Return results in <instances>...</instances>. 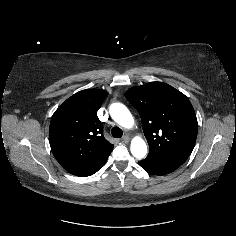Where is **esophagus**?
<instances>
[{
    "mask_svg": "<svg viewBox=\"0 0 236 236\" xmlns=\"http://www.w3.org/2000/svg\"><path fill=\"white\" fill-rule=\"evenodd\" d=\"M122 140L127 143L130 141V136L126 134L125 136H123Z\"/></svg>",
    "mask_w": 236,
    "mask_h": 236,
    "instance_id": "obj_1",
    "label": "esophagus"
}]
</instances>
